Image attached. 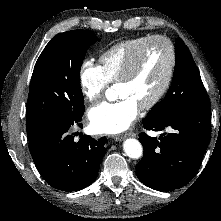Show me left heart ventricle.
<instances>
[{
  "instance_id": "left-heart-ventricle-1",
  "label": "left heart ventricle",
  "mask_w": 221,
  "mask_h": 221,
  "mask_svg": "<svg viewBox=\"0 0 221 221\" xmlns=\"http://www.w3.org/2000/svg\"><path fill=\"white\" fill-rule=\"evenodd\" d=\"M170 55L162 41L150 44L143 53L134 77L117 85L120 97H130L139 107L148 102L162 86L169 68Z\"/></svg>"
}]
</instances>
